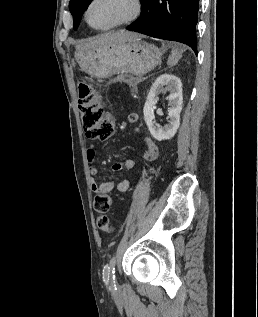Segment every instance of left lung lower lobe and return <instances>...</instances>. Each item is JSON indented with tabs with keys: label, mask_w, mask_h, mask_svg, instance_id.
<instances>
[{
	"label": "left lung lower lobe",
	"mask_w": 258,
	"mask_h": 317,
	"mask_svg": "<svg viewBox=\"0 0 258 317\" xmlns=\"http://www.w3.org/2000/svg\"><path fill=\"white\" fill-rule=\"evenodd\" d=\"M200 0H144L141 17L127 30L177 41L197 54L196 25Z\"/></svg>",
	"instance_id": "1"
}]
</instances>
